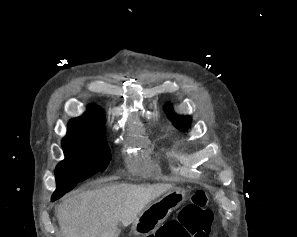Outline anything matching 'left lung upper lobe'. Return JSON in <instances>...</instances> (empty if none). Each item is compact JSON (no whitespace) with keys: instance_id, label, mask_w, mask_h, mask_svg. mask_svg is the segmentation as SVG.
<instances>
[{"instance_id":"obj_1","label":"left lung upper lobe","mask_w":297,"mask_h":237,"mask_svg":"<svg viewBox=\"0 0 297 237\" xmlns=\"http://www.w3.org/2000/svg\"><path fill=\"white\" fill-rule=\"evenodd\" d=\"M164 110L168 114V118L172 120L173 124L181 131H186L187 128L190 126L191 118H184L182 116H177L174 113L170 104L166 105Z\"/></svg>"}]
</instances>
